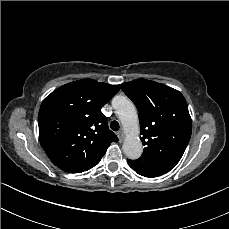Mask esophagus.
Segmentation results:
<instances>
[{
	"instance_id": "34e87169",
	"label": "esophagus",
	"mask_w": 229,
	"mask_h": 229,
	"mask_svg": "<svg viewBox=\"0 0 229 229\" xmlns=\"http://www.w3.org/2000/svg\"><path fill=\"white\" fill-rule=\"evenodd\" d=\"M117 136H118V139H119L120 142H122L124 140V138H125V134H124V132L122 130L117 132Z\"/></svg>"
}]
</instances>
